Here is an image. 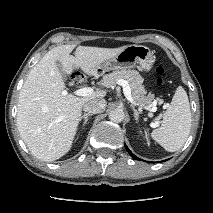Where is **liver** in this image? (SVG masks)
Wrapping results in <instances>:
<instances>
[{"label": "liver", "instance_id": "liver-1", "mask_svg": "<svg viewBox=\"0 0 213 213\" xmlns=\"http://www.w3.org/2000/svg\"><path fill=\"white\" fill-rule=\"evenodd\" d=\"M125 47L78 46L72 56L75 45H62L48 51L30 70L19 93L17 128L33 156L46 162L64 156L72 146L83 105L106 96L103 90L81 98L63 95L65 83L57 62L68 75L81 69L96 76L98 67Z\"/></svg>", "mask_w": 213, "mask_h": 213}]
</instances>
